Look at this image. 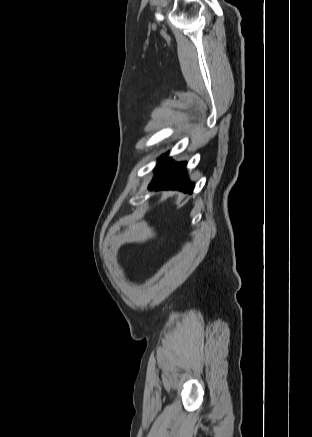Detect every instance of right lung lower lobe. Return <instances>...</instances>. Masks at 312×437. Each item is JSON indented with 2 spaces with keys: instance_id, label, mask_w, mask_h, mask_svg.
Here are the masks:
<instances>
[{
  "instance_id": "obj_1",
  "label": "right lung lower lobe",
  "mask_w": 312,
  "mask_h": 437,
  "mask_svg": "<svg viewBox=\"0 0 312 437\" xmlns=\"http://www.w3.org/2000/svg\"><path fill=\"white\" fill-rule=\"evenodd\" d=\"M186 163H174L167 156H162L156 166L157 175L149 185V189H178L191 193L194 185L186 176Z\"/></svg>"
}]
</instances>
